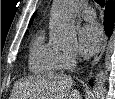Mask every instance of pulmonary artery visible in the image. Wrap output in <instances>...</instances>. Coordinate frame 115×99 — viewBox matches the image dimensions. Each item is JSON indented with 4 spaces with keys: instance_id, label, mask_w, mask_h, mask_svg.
<instances>
[{
    "instance_id": "pulmonary-artery-1",
    "label": "pulmonary artery",
    "mask_w": 115,
    "mask_h": 99,
    "mask_svg": "<svg viewBox=\"0 0 115 99\" xmlns=\"http://www.w3.org/2000/svg\"><path fill=\"white\" fill-rule=\"evenodd\" d=\"M81 15L84 19L86 20H94L96 17L95 11L93 8L91 7H85L82 11H81Z\"/></svg>"
}]
</instances>
